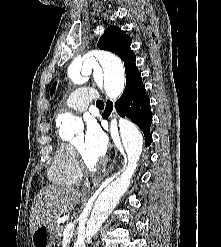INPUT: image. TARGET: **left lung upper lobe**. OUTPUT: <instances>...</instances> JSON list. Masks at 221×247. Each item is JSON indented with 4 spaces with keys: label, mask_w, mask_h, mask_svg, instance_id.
<instances>
[{
    "label": "left lung upper lobe",
    "mask_w": 221,
    "mask_h": 247,
    "mask_svg": "<svg viewBox=\"0 0 221 247\" xmlns=\"http://www.w3.org/2000/svg\"><path fill=\"white\" fill-rule=\"evenodd\" d=\"M131 37L122 31L117 26H109L98 41L97 47L102 50H107L118 55L125 66L126 87L123 93L134 81L142 83V78L139 70L136 67V56L130 48ZM56 87V82L53 84L50 92L53 95Z\"/></svg>",
    "instance_id": "5c2ea615"
}]
</instances>
